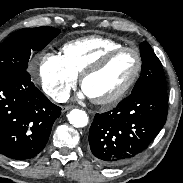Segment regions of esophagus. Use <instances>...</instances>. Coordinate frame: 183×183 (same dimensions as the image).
I'll use <instances>...</instances> for the list:
<instances>
[{
	"label": "esophagus",
	"instance_id": "esophagus-1",
	"mask_svg": "<svg viewBox=\"0 0 183 183\" xmlns=\"http://www.w3.org/2000/svg\"><path fill=\"white\" fill-rule=\"evenodd\" d=\"M72 108H73L72 105L63 106V107H62V112L68 111V110H70V109H72Z\"/></svg>",
	"mask_w": 183,
	"mask_h": 183
}]
</instances>
